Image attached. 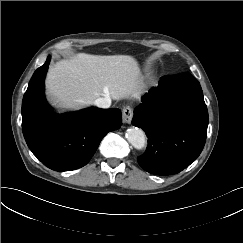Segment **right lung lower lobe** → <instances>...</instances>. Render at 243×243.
I'll return each mask as SVG.
<instances>
[{"label": "right lung lower lobe", "instance_id": "obj_1", "mask_svg": "<svg viewBox=\"0 0 243 243\" xmlns=\"http://www.w3.org/2000/svg\"><path fill=\"white\" fill-rule=\"evenodd\" d=\"M50 57L33 74L22 101V130L32 153L48 168L71 171L86 165L102 138L122 124L118 109L88 108L56 114L44 98Z\"/></svg>", "mask_w": 243, "mask_h": 243}]
</instances>
